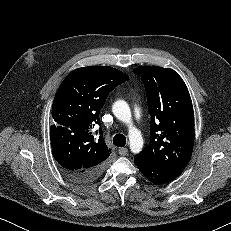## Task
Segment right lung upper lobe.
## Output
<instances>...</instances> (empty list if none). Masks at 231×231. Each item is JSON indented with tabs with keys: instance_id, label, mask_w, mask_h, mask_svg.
I'll list each match as a JSON object with an SVG mask.
<instances>
[{
	"instance_id": "right-lung-upper-lobe-1",
	"label": "right lung upper lobe",
	"mask_w": 231,
	"mask_h": 231,
	"mask_svg": "<svg viewBox=\"0 0 231 231\" xmlns=\"http://www.w3.org/2000/svg\"><path fill=\"white\" fill-rule=\"evenodd\" d=\"M128 79L109 66H88L70 72L61 83L52 105V154L65 171H88L104 165L111 150L103 132L92 134L110 91Z\"/></svg>"
}]
</instances>
